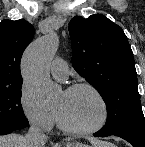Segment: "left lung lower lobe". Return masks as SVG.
Returning <instances> with one entry per match:
<instances>
[{"label": "left lung lower lobe", "mask_w": 145, "mask_h": 147, "mask_svg": "<svg viewBox=\"0 0 145 147\" xmlns=\"http://www.w3.org/2000/svg\"><path fill=\"white\" fill-rule=\"evenodd\" d=\"M110 135L119 136L134 147H145V131H125V132H116V133H108L103 131H98L94 133L96 137H106Z\"/></svg>", "instance_id": "0a47b994"}]
</instances>
